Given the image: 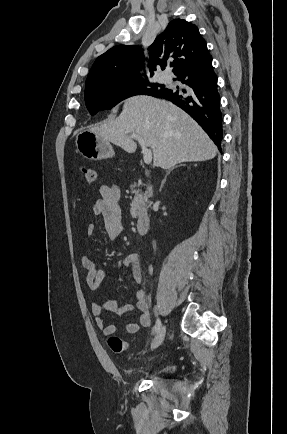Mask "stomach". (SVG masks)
<instances>
[{"label": "stomach", "instance_id": "obj_1", "mask_svg": "<svg viewBox=\"0 0 287 434\" xmlns=\"http://www.w3.org/2000/svg\"><path fill=\"white\" fill-rule=\"evenodd\" d=\"M75 142L77 151L86 159L98 161L114 156L110 142L89 129L81 130Z\"/></svg>", "mask_w": 287, "mask_h": 434}]
</instances>
